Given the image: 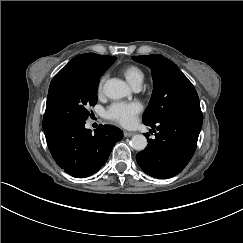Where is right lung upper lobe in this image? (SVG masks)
Returning a JSON list of instances; mask_svg holds the SVG:
<instances>
[{
    "instance_id": "right-lung-upper-lobe-1",
    "label": "right lung upper lobe",
    "mask_w": 243,
    "mask_h": 243,
    "mask_svg": "<svg viewBox=\"0 0 243 243\" xmlns=\"http://www.w3.org/2000/svg\"><path fill=\"white\" fill-rule=\"evenodd\" d=\"M115 58L116 57L98 55L94 53L77 55L54 76L53 80L61 76L75 73L99 75Z\"/></svg>"
}]
</instances>
